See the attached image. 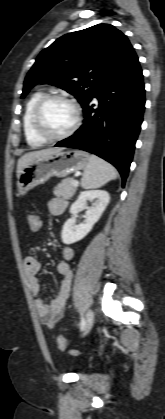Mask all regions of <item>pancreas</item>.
I'll return each instance as SVG.
<instances>
[{"mask_svg":"<svg viewBox=\"0 0 165 419\" xmlns=\"http://www.w3.org/2000/svg\"><path fill=\"white\" fill-rule=\"evenodd\" d=\"M73 178L63 179L55 188L54 195L64 199H70L76 192L77 187L72 184Z\"/></svg>","mask_w":165,"mask_h":419,"instance_id":"obj_1","label":"pancreas"}]
</instances>
